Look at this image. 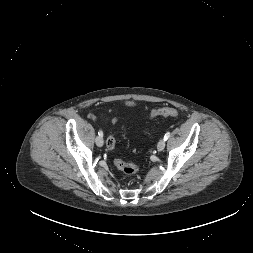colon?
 Segmentation results:
<instances>
[{
	"mask_svg": "<svg viewBox=\"0 0 253 253\" xmlns=\"http://www.w3.org/2000/svg\"><path fill=\"white\" fill-rule=\"evenodd\" d=\"M179 115L178 111L174 108L170 107H162L158 109H154L151 112V117L156 116H166V117H177ZM106 145L109 149H114L116 145V140L113 135L107 137ZM116 167L128 176H135L139 172V167L135 164L128 163L120 158H116L114 160Z\"/></svg>",
	"mask_w": 253,
	"mask_h": 253,
	"instance_id": "obj_1",
	"label": "colon"
}]
</instances>
